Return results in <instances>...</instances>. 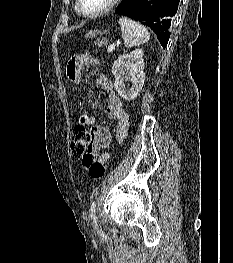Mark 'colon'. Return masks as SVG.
I'll return each instance as SVG.
<instances>
[{
  "instance_id": "5ec220e1",
  "label": "colon",
  "mask_w": 233,
  "mask_h": 263,
  "mask_svg": "<svg viewBox=\"0 0 233 263\" xmlns=\"http://www.w3.org/2000/svg\"><path fill=\"white\" fill-rule=\"evenodd\" d=\"M95 124L88 114H83L74 127L71 136V152L74 159H81L90 176L100 179L105 175V164L94 161L91 155V143L94 138Z\"/></svg>"
}]
</instances>
